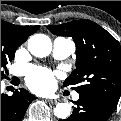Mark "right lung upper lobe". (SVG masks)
<instances>
[{
    "mask_svg": "<svg viewBox=\"0 0 121 121\" xmlns=\"http://www.w3.org/2000/svg\"><path fill=\"white\" fill-rule=\"evenodd\" d=\"M1 24H5L9 26L19 37H21L25 41L27 40L28 36L35 33L39 28L38 25L33 26V27H22V26H17V25H14V24L2 21V20H1Z\"/></svg>",
    "mask_w": 121,
    "mask_h": 121,
    "instance_id": "obj_1",
    "label": "right lung upper lobe"
}]
</instances>
